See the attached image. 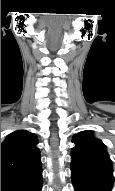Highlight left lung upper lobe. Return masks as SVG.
<instances>
[{"label": "left lung upper lobe", "mask_w": 115, "mask_h": 191, "mask_svg": "<svg viewBox=\"0 0 115 191\" xmlns=\"http://www.w3.org/2000/svg\"><path fill=\"white\" fill-rule=\"evenodd\" d=\"M73 143L75 147L72 149V163L100 167L113 172L105 144L93 137L89 131L75 135Z\"/></svg>", "instance_id": "1"}]
</instances>
